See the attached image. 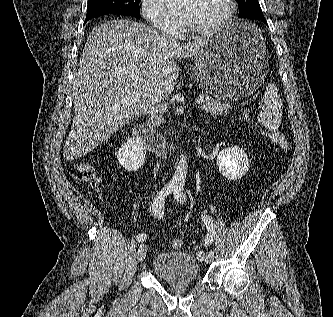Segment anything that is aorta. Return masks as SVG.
<instances>
[{
    "label": "aorta",
    "mask_w": 333,
    "mask_h": 317,
    "mask_svg": "<svg viewBox=\"0 0 333 317\" xmlns=\"http://www.w3.org/2000/svg\"><path fill=\"white\" fill-rule=\"evenodd\" d=\"M161 1L166 5L176 6L181 4L184 0H161ZM187 170H188L187 158L186 156L182 155L175 169L174 175L172 177V183L180 186L184 185L187 176Z\"/></svg>",
    "instance_id": "obj_1"
}]
</instances>
